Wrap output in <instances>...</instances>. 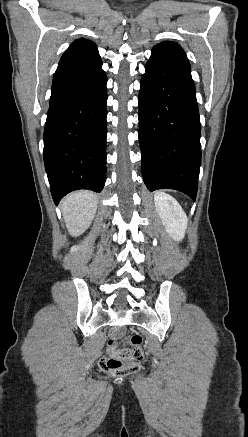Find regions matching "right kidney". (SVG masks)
Segmentation results:
<instances>
[{
	"label": "right kidney",
	"mask_w": 248,
	"mask_h": 437,
	"mask_svg": "<svg viewBox=\"0 0 248 437\" xmlns=\"http://www.w3.org/2000/svg\"><path fill=\"white\" fill-rule=\"evenodd\" d=\"M77 250H78V247H76V246H74V247L71 248V252H75V251H77Z\"/></svg>",
	"instance_id": "obj_1"
}]
</instances>
